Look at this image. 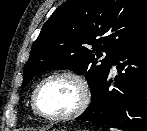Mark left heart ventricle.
Listing matches in <instances>:
<instances>
[{
  "label": "left heart ventricle",
  "instance_id": "left-heart-ventricle-1",
  "mask_svg": "<svg viewBox=\"0 0 147 131\" xmlns=\"http://www.w3.org/2000/svg\"><path fill=\"white\" fill-rule=\"evenodd\" d=\"M81 101L79 85L66 77L54 78L39 90V108L48 115H64L72 112Z\"/></svg>",
  "mask_w": 147,
  "mask_h": 131
}]
</instances>
